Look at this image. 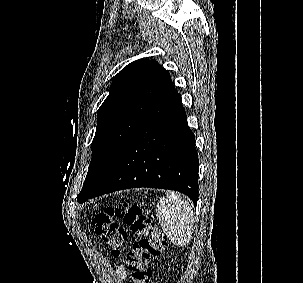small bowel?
Instances as JSON below:
<instances>
[{
  "instance_id": "c3829d8e",
  "label": "small bowel",
  "mask_w": 303,
  "mask_h": 283,
  "mask_svg": "<svg viewBox=\"0 0 303 283\" xmlns=\"http://www.w3.org/2000/svg\"><path fill=\"white\" fill-rule=\"evenodd\" d=\"M116 276L120 281H125L126 279V268L124 265H121L118 267L117 271H116Z\"/></svg>"
}]
</instances>
